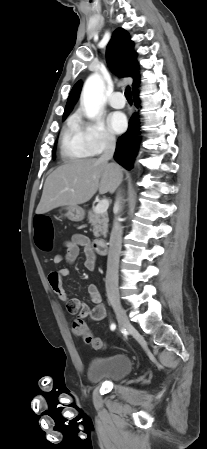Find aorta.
<instances>
[{
  "label": "aorta",
  "mask_w": 207,
  "mask_h": 449,
  "mask_svg": "<svg viewBox=\"0 0 207 449\" xmlns=\"http://www.w3.org/2000/svg\"><path fill=\"white\" fill-rule=\"evenodd\" d=\"M104 93V82L97 73L92 74L86 80L82 90V103L85 108L86 116L94 119L102 106Z\"/></svg>",
  "instance_id": "obj_1"
}]
</instances>
